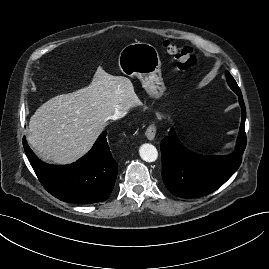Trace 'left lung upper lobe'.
Returning a JSON list of instances; mask_svg holds the SVG:
<instances>
[{"label":"left lung upper lobe","instance_id":"1","mask_svg":"<svg viewBox=\"0 0 269 269\" xmlns=\"http://www.w3.org/2000/svg\"><path fill=\"white\" fill-rule=\"evenodd\" d=\"M225 75H226V79H227V82L229 84V86L231 87V89L236 92V91H240L236 81L234 80V78L231 76V74L226 71L225 72Z\"/></svg>","mask_w":269,"mask_h":269}]
</instances>
